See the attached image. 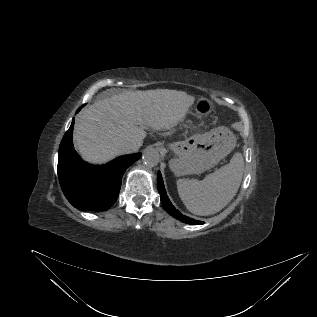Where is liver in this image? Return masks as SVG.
<instances>
[{"label": "liver", "mask_w": 317, "mask_h": 317, "mask_svg": "<svg viewBox=\"0 0 317 317\" xmlns=\"http://www.w3.org/2000/svg\"><path fill=\"white\" fill-rule=\"evenodd\" d=\"M195 98L184 91H128L96 101L75 120L74 143L90 163H106L120 155L118 147L134 142L139 148L145 128L168 130L182 122Z\"/></svg>", "instance_id": "liver-1"}]
</instances>
